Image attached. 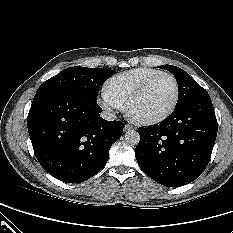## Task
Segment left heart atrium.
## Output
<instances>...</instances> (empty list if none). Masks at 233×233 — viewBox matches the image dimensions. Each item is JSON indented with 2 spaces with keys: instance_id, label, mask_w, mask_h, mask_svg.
Segmentation results:
<instances>
[{
  "instance_id": "left-heart-atrium-1",
  "label": "left heart atrium",
  "mask_w": 233,
  "mask_h": 233,
  "mask_svg": "<svg viewBox=\"0 0 233 233\" xmlns=\"http://www.w3.org/2000/svg\"><path fill=\"white\" fill-rule=\"evenodd\" d=\"M128 117L134 122H141L143 118L134 114L133 112L128 113Z\"/></svg>"
}]
</instances>
